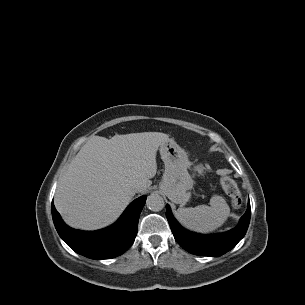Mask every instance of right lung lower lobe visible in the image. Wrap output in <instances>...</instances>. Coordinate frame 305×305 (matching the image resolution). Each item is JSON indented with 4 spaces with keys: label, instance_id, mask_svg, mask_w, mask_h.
Instances as JSON below:
<instances>
[{
    "label": "right lung lower lobe",
    "instance_id": "obj_1",
    "mask_svg": "<svg viewBox=\"0 0 305 305\" xmlns=\"http://www.w3.org/2000/svg\"><path fill=\"white\" fill-rule=\"evenodd\" d=\"M145 201L146 196L137 198L115 224L96 231H81L66 225L53 202L52 218L58 234L72 250L91 259H109L123 254L133 244Z\"/></svg>",
    "mask_w": 305,
    "mask_h": 305
}]
</instances>
